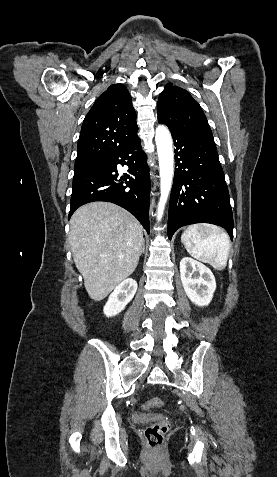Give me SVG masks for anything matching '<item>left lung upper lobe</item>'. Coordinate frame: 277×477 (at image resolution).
<instances>
[{
  "label": "left lung upper lobe",
  "instance_id": "1",
  "mask_svg": "<svg viewBox=\"0 0 277 477\" xmlns=\"http://www.w3.org/2000/svg\"><path fill=\"white\" fill-rule=\"evenodd\" d=\"M158 122L168 126L170 131H198L212 133L200 105L186 90L167 84L160 93Z\"/></svg>",
  "mask_w": 277,
  "mask_h": 477
}]
</instances>
